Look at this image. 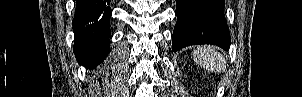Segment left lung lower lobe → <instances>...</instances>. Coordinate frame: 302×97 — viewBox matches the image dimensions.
Instances as JSON below:
<instances>
[{
  "label": "left lung lower lobe",
  "instance_id": "obj_1",
  "mask_svg": "<svg viewBox=\"0 0 302 97\" xmlns=\"http://www.w3.org/2000/svg\"><path fill=\"white\" fill-rule=\"evenodd\" d=\"M224 0H176L177 23L172 50L195 44L228 49L230 33L224 18Z\"/></svg>",
  "mask_w": 302,
  "mask_h": 97
}]
</instances>
